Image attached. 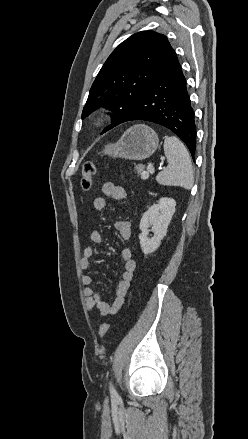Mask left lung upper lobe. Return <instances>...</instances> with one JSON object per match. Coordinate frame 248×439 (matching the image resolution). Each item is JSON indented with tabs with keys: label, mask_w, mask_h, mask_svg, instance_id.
Returning <instances> with one entry per match:
<instances>
[{
	"label": "left lung upper lobe",
	"mask_w": 248,
	"mask_h": 439,
	"mask_svg": "<svg viewBox=\"0 0 248 439\" xmlns=\"http://www.w3.org/2000/svg\"><path fill=\"white\" fill-rule=\"evenodd\" d=\"M166 36L142 31L122 42L99 71L83 108L82 119L105 107L114 112L113 124H120L135 108L145 91L174 54Z\"/></svg>",
	"instance_id": "obj_1"
}]
</instances>
